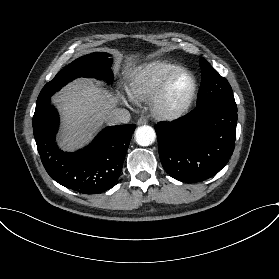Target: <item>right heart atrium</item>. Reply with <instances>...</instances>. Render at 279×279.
Instances as JSON below:
<instances>
[{"mask_svg": "<svg viewBox=\"0 0 279 279\" xmlns=\"http://www.w3.org/2000/svg\"><path fill=\"white\" fill-rule=\"evenodd\" d=\"M118 99L129 106H137L139 104V98L127 93L123 89H119L117 91Z\"/></svg>", "mask_w": 279, "mask_h": 279, "instance_id": "d8ad5b80", "label": "right heart atrium"}]
</instances>
